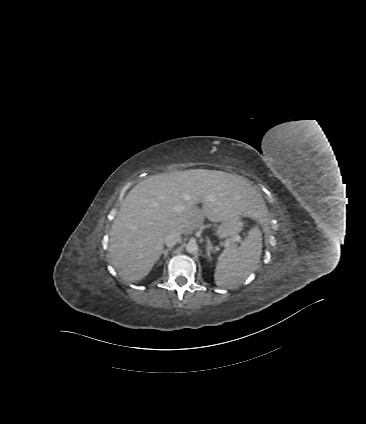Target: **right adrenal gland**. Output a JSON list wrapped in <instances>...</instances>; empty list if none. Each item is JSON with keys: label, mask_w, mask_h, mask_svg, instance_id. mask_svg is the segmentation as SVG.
Wrapping results in <instances>:
<instances>
[{"label": "right adrenal gland", "mask_w": 366, "mask_h": 424, "mask_svg": "<svg viewBox=\"0 0 366 424\" xmlns=\"http://www.w3.org/2000/svg\"><path fill=\"white\" fill-rule=\"evenodd\" d=\"M171 250V248H167V249H164V250H162V253H161V255L163 254L164 256H163V259H166V257H167V255H168V252ZM160 255V256H161ZM162 264V262H160L159 263V265H161Z\"/></svg>", "instance_id": "2a0ac1e0"}]
</instances>
